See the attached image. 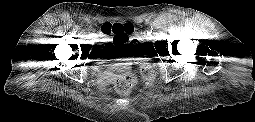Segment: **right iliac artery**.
<instances>
[{
  "label": "right iliac artery",
  "instance_id": "1",
  "mask_svg": "<svg viewBox=\"0 0 255 122\" xmlns=\"http://www.w3.org/2000/svg\"><path fill=\"white\" fill-rule=\"evenodd\" d=\"M87 30H88V32L91 33V34L94 32L93 29H92L91 27H88Z\"/></svg>",
  "mask_w": 255,
  "mask_h": 122
}]
</instances>
